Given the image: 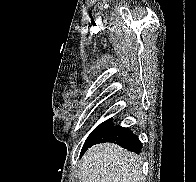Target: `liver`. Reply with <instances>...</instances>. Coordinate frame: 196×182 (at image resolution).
<instances>
[{
    "label": "liver",
    "mask_w": 196,
    "mask_h": 182,
    "mask_svg": "<svg viewBox=\"0 0 196 182\" xmlns=\"http://www.w3.org/2000/svg\"><path fill=\"white\" fill-rule=\"evenodd\" d=\"M82 182H142L141 159L113 143L95 145L80 163Z\"/></svg>",
    "instance_id": "6515ba94"
}]
</instances>
